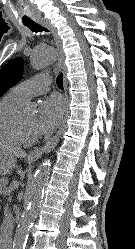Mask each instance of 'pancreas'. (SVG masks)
Masks as SVG:
<instances>
[{"label":"pancreas","mask_w":135,"mask_h":249,"mask_svg":"<svg viewBox=\"0 0 135 249\" xmlns=\"http://www.w3.org/2000/svg\"><path fill=\"white\" fill-rule=\"evenodd\" d=\"M15 186H17V182L16 181H13L11 183V185H10L9 188H6L4 186H0V193H3V194L8 193L9 190H11L12 188H14Z\"/></svg>","instance_id":"pancreas-1"}]
</instances>
